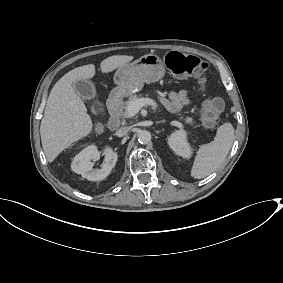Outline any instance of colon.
Segmentation results:
<instances>
[{
    "label": "colon",
    "instance_id": "obj_1",
    "mask_svg": "<svg viewBox=\"0 0 283 283\" xmlns=\"http://www.w3.org/2000/svg\"><path fill=\"white\" fill-rule=\"evenodd\" d=\"M166 66L178 76H194L203 80L208 73V64L193 55L169 52L165 57ZM222 101L215 97L207 99L201 108V117L206 126H213L222 112Z\"/></svg>",
    "mask_w": 283,
    "mask_h": 283
}]
</instances>
